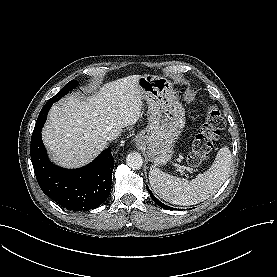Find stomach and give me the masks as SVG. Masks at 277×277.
I'll list each match as a JSON object with an SVG mask.
<instances>
[{"label": "stomach", "mask_w": 277, "mask_h": 277, "mask_svg": "<svg viewBox=\"0 0 277 277\" xmlns=\"http://www.w3.org/2000/svg\"><path fill=\"white\" fill-rule=\"evenodd\" d=\"M138 86L148 104V126L136 136L155 165H165L174 153V144L185 126L184 111L172 84L164 77L145 74Z\"/></svg>", "instance_id": "stomach-1"}]
</instances>
